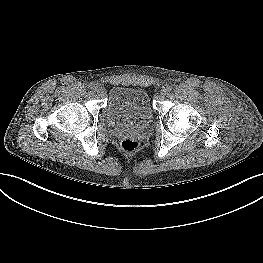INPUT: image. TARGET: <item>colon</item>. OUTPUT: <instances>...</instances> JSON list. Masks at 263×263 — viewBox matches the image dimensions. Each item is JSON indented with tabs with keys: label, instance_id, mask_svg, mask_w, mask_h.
<instances>
[{
	"label": "colon",
	"instance_id": "obj_1",
	"mask_svg": "<svg viewBox=\"0 0 263 263\" xmlns=\"http://www.w3.org/2000/svg\"><path fill=\"white\" fill-rule=\"evenodd\" d=\"M121 147L125 152H134L137 149L138 144L135 140L125 139L122 141Z\"/></svg>",
	"mask_w": 263,
	"mask_h": 263
}]
</instances>
